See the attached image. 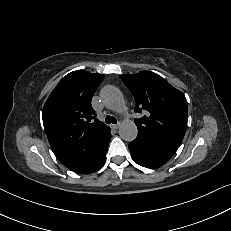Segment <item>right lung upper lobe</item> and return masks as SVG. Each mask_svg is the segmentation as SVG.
<instances>
[{
  "mask_svg": "<svg viewBox=\"0 0 231 231\" xmlns=\"http://www.w3.org/2000/svg\"><path fill=\"white\" fill-rule=\"evenodd\" d=\"M103 78V74L73 71L59 82L44 105L43 124L49 143L69 169L78 165L109 130L96 119L91 106Z\"/></svg>",
  "mask_w": 231,
  "mask_h": 231,
  "instance_id": "right-lung-upper-lobe-1",
  "label": "right lung upper lobe"
}]
</instances>
